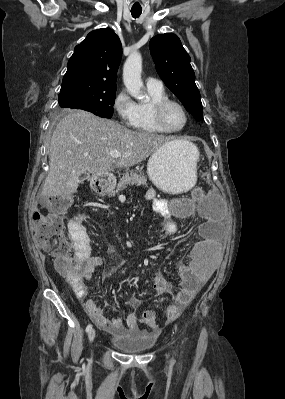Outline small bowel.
<instances>
[{"label":"small bowel","instance_id":"small-bowel-1","mask_svg":"<svg viewBox=\"0 0 285 399\" xmlns=\"http://www.w3.org/2000/svg\"><path fill=\"white\" fill-rule=\"evenodd\" d=\"M145 199L152 203L154 210L163 218L162 231L168 237L174 236L178 232V225L174 220L175 217L189 218L192 215L191 212H180L178 203L175 204V211L173 212L169 209L168 202L165 199L157 198L152 189L146 192ZM197 212L204 223V226L200 229V238L190 248L189 262L178 263L176 266L181 289L173 296L172 302L180 308H184L189 304L194 295L211 276L219 258V247L212 239L214 221L211 218L210 208L201 206ZM80 225L81 222L78 219H72L67 224L68 234L75 248H79ZM75 263L80 270V277L75 279L72 285L76 294L80 298H85L84 281L91 278L94 271L102 265L103 260L96 256L82 257L78 252ZM153 284L155 295L161 296L167 292L170 286V279L163 273H157L153 276ZM84 305L87 314L93 322L109 334L121 335L138 330L137 316L134 312L127 314L125 320H123L118 316L107 317L93 300L85 299ZM130 305L136 307L137 301H131ZM168 320L173 321L171 318H168ZM151 328L156 329V327Z\"/></svg>","mask_w":285,"mask_h":399}]
</instances>
